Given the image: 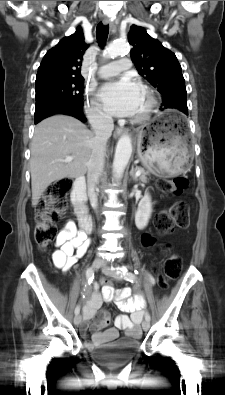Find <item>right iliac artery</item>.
<instances>
[{
	"label": "right iliac artery",
	"mask_w": 225,
	"mask_h": 395,
	"mask_svg": "<svg viewBox=\"0 0 225 395\" xmlns=\"http://www.w3.org/2000/svg\"><path fill=\"white\" fill-rule=\"evenodd\" d=\"M86 278H87V282H86L85 287L90 285L94 279V272H93L92 268L87 269ZM79 312H80V305H77L75 308V314L77 315V314H79Z\"/></svg>",
	"instance_id": "obj_1"
}]
</instances>
